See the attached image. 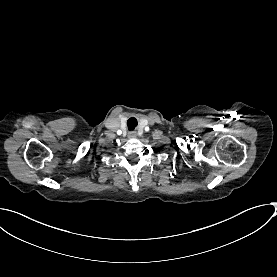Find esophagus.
Wrapping results in <instances>:
<instances>
[{
  "label": "esophagus",
  "instance_id": "34e87169",
  "mask_svg": "<svg viewBox=\"0 0 277 277\" xmlns=\"http://www.w3.org/2000/svg\"><path fill=\"white\" fill-rule=\"evenodd\" d=\"M137 136V132L136 131H129L128 132V138H135Z\"/></svg>",
  "mask_w": 277,
  "mask_h": 277
}]
</instances>
